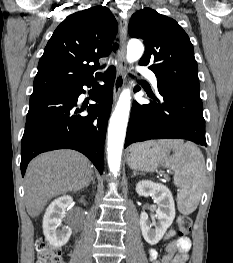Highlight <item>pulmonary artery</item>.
<instances>
[{
    "mask_svg": "<svg viewBox=\"0 0 233 263\" xmlns=\"http://www.w3.org/2000/svg\"><path fill=\"white\" fill-rule=\"evenodd\" d=\"M139 72L150 80L154 88H157L158 86L157 77L152 70L148 69L147 67H141L139 69Z\"/></svg>",
    "mask_w": 233,
    "mask_h": 263,
    "instance_id": "obj_1",
    "label": "pulmonary artery"
}]
</instances>
